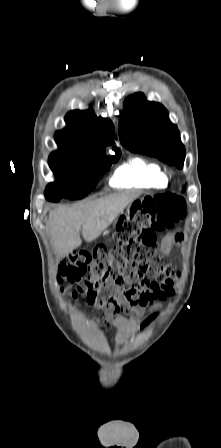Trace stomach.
Returning a JSON list of instances; mask_svg holds the SVG:
<instances>
[{
    "mask_svg": "<svg viewBox=\"0 0 221 448\" xmlns=\"http://www.w3.org/2000/svg\"><path fill=\"white\" fill-rule=\"evenodd\" d=\"M135 204H137L136 201H135L134 203H131V204L128 206V213H130V212L132 211V207H133V205H135Z\"/></svg>",
    "mask_w": 221,
    "mask_h": 448,
    "instance_id": "stomach-1",
    "label": "stomach"
}]
</instances>
